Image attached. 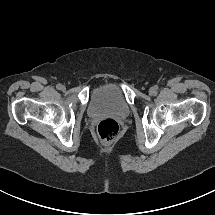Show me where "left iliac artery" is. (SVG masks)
<instances>
[{"label":"left iliac artery","mask_w":215,"mask_h":215,"mask_svg":"<svg viewBox=\"0 0 215 215\" xmlns=\"http://www.w3.org/2000/svg\"><path fill=\"white\" fill-rule=\"evenodd\" d=\"M155 89L157 90V89H158V86H155Z\"/></svg>","instance_id":"1"}]
</instances>
